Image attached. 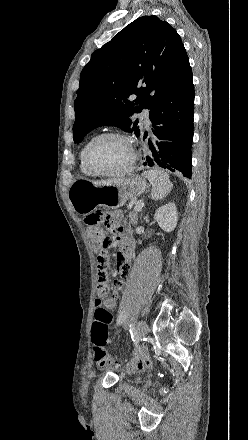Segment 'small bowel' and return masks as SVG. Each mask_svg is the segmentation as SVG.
<instances>
[{
    "instance_id": "1",
    "label": "small bowel",
    "mask_w": 248,
    "mask_h": 440,
    "mask_svg": "<svg viewBox=\"0 0 248 440\" xmlns=\"http://www.w3.org/2000/svg\"><path fill=\"white\" fill-rule=\"evenodd\" d=\"M109 226L114 230L118 239L122 243V252L118 254L116 259V272L121 280H113L112 285L114 289H110L108 279L111 275L110 271L114 270L115 265L108 257H99L97 266L98 276L96 277V289L98 294L96 302L101 303L106 309L112 310L116 306L119 291L123 292L125 290L122 280L127 279V273L131 267L129 261L131 257L132 242L129 236V229L121 214L114 213L109 220ZM110 292V296H107ZM146 363L144 357L138 355L132 360L131 365L143 368Z\"/></svg>"
}]
</instances>
